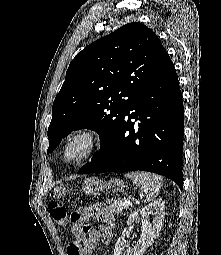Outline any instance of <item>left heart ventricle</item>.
<instances>
[{"label":"left heart ventricle","instance_id":"1","mask_svg":"<svg viewBox=\"0 0 221 255\" xmlns=\"http://www.w3.org/2000/svg\"><path fill=\"white\" fill-rule=\"evenodd\" d=\"M86 144L84 141H78L70 146L67 157L70 161L78 159L85 151Z\"/></svg>","mask_w":221,"mask_h":255}]
</instances>
